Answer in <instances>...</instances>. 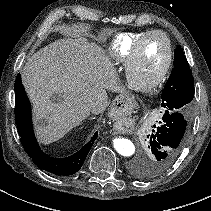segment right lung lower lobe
I'll return each mask as SVG.
<instances>
[{"instance_id": "1", "label": "right lung lower lobe", "mask_w": 211, "mask_h": 211, "mask_svg": "<svg viewBox=\"0 0 211 211\" xmlns=\"http://www.w3.org/2000/svg\"><path fill=\"white\" fill-rule=\"evenodd\" d=\"M15 100V118L18 132L21 136L23 148L28 156L32 158V161L38 167L55 175L68 176L79 171L98 137V132L75 154L62 159L52 158L40 149L35 139L31 120V106L22 85L20 74L16 77Z\"/></svg>"}]
</instances>
